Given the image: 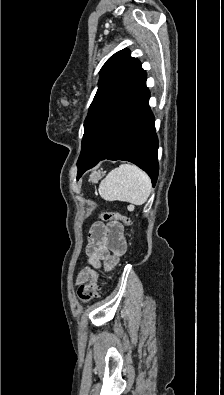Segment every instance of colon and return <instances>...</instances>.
Returning <instances> with one entry per match:
<instances>
[{"mask_svg": "<svg viewBox=\"0 0 224 395\" xmlns=\"http://www.w3.org/2000/svg\"><path fill=\"white\" fill-rule=\"evenodd\" d=\"M101 219L108 222L110 229L117 233L118 226L122 222L124 224H128V221L125 217L113 213V212H102L100 215ZM98 279L99 274L92 270L90 271V277L87 282L82 283L78 288V297L84 303L90 302L92 299L97 297L98 295Z\"/></svg>", "mask_w": 224, "mask_h": 395, "instance_id": "1", "label": "colon"}]
</instances>
